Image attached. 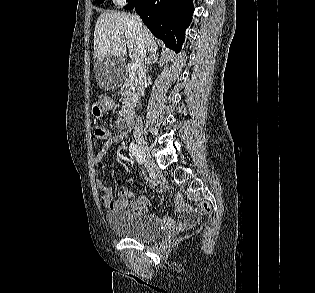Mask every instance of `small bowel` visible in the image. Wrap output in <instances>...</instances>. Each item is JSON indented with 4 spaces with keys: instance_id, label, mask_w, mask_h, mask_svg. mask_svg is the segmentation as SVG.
Returning a JSON list of instances; mask_svg holds the SVG:
<instances>
[{
    "instance_id": "small-bowel-1",
    "label": "small bowel",
    "mask_w": 315,
    "mask_h": 293,
    "mask_svg": "<svg viewBox=\"0 0 315 293\" xmlns=\"http://www.w3.org/2000/svg\"><path fill=\"white\" fill-rule=\"evenodd\" d=\"M124 139L125 135L122 133L114 136H109L103 144L102 148L94 157L95 166H98L103 161L113 145L122 142ZM95 183L97 189L102 194V204L110 210L128 208L142 213L145 211V206L149 205L150 203L149 199L146 196H140L137 198V200H135L133 193L126 187L121 188L119 191V196L122 197V200L115 201L113 188L111 186L105 185L97 174ZM151 184L157 192H164L169 188L166 184L160 181H152ZM173 201V210L175 213H178L180 215L179 219L176 221L171 216H165L163 218L164 224L168 228L174 230H183L185 228L195 225L199 220V214L189 204L184 202L182 194L179 191L175 192Z\"/></svg>"
}]
</instances>
